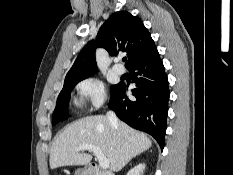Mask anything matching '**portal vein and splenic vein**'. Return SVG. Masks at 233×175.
<instances>
[{
    "label": "portal vein and splenic vein",
    "mask_w": 233,
    "mask_h": 175,
    "mask_svg": "<svg viewBox=\"0 0 233 175\" xmlns=\"http://www.w3.org/2000/svg\"><path fill=\"white\" fill-rule=\"evenodd\" d=\"M77 150H89L92 151L97 159L99 160V165L102 169H107L109 167V160L104 156L99 147L91 144H83L77 148Z\"/></svg>",
    "instance_id": "portal-vein-and-splenic-vein-1"
}]
</instances>
